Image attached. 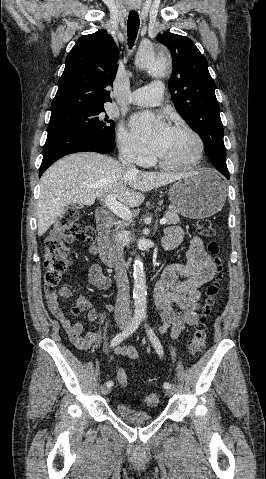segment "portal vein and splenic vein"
I'll use <instances>...</instances> for the list:
<instances>
[{"label":"portal vein and splenic vein","instance_id":"portal-vein-and-splenic-vein-1","mask_svg":"<svg viewBox=\"0 0 266 479\" xmlns=\"http://www.w3.org/2000/svg\"><path fill=\"white\" fill-rule=\"evenodd\" d=\"M105 205L117 216L122 218L123 220L129 221L132 218V213L128 207L119 203L116 200L115 194H109L107 198L104 200ZM167 218H162L160 220V224H166Z\"/></svg>","mask_w":266,"mask_h":479}]
</instances>
